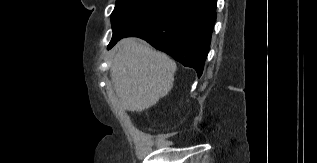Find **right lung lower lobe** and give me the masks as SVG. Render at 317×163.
Wrapping results in <instances>:
<instances>
[{"instance_id": "1", "label": "right lung lower lobe", "mask_w": 317, "mask_h": 163, "mask_svg": "<svg viewBox=\"0 0 317 163\" xmlns=\"http://www.w3.org/2000/svg\"><path fill=\"white\" fill-rule=\"evenodd\" d=\"M216 3L217 0H174L155 19L123 37L146 40L184 66L194 68L200 77L216 19ZM121 38L110 42L108 49Z\"/></svg>"}]
</instances>
